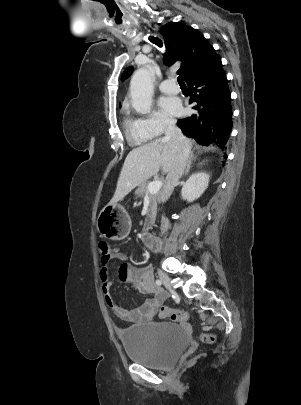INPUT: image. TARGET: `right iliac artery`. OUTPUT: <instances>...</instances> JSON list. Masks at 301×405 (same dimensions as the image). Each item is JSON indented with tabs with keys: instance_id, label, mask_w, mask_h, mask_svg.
<instances>
[{
	"instance_id": "1",
	"label": "right iliac artery",
	"mask_w": 301,
	"mask_h": 405,
	"mask_svg": "<svg viewBox=\"0 0 301 405\" xmlns=\"http://www.w3.org/2000/svg\"><path fill=\"white\" fill-rule=\"evenodd\" d=\"M156 285H157V286H161V285H162V282H161L160 280H156Z\"/></svg>"
}]
</instances>
